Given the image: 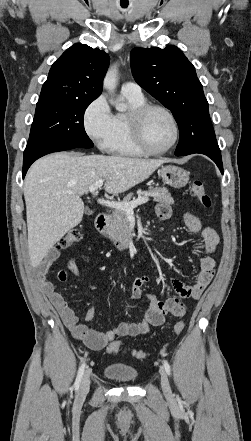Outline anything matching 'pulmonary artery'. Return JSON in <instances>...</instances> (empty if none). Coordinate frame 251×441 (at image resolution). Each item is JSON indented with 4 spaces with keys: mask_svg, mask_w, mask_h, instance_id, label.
I'll return each mask as SVG.
<instances>
[{
    "mask_svg": "<svg viewBox=\"0 0 251 441\" xmlns=\"http://www.w3.org/2000/svg\"><path fill=\"white\" fill-rule=\"evenodd\" d=\"M121 91L124 94H130L135 96L143 95L141 87L137 83L132 81H127L123 83L121 87Z\"/></svg>",
    "mask_w": 251,
    "mask_h": 441,
    "instance_id": "pulmonary-artery-1",
    "label": "pulmonary artery"
}]
</instances>
